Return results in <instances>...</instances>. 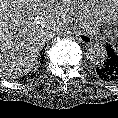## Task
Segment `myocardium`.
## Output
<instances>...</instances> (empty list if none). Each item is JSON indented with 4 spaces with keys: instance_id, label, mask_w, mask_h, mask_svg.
Segmentation results:
<instances>
[{
    "instance_id": "f54148a6",
    "label": "myocardium",
    "mask_w": 118,
    "mask_h": 118,
    "mask_svg": "<svg viewBox=\"0 0 118 118\" xmlns=\"http://www.w3.org/2000/svg\"><path fill=\"white\" fill-rule=\"evenodd\" d=\"M114 26L115 31L118 33V0L114 3Z\"/></svg>"
}]
</instances>
